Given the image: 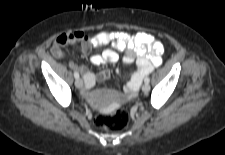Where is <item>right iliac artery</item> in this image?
Returning <instances> with one entry per match:
<instances>
[{"label": "right iliac artery", "instance_id": "82829eb1", "mask_svg": "<svg viewBox=\"0 0 225 155\" xmlns=\"http://www.w3.org/2000/svg\"><path fill=\"white\" fill-rule=\"evenodd\" d=\"M74 77L77 79L79 78V73L77 71L74 72Z\"/></svg>", "mask_w": 225, "mask_h": 155}]
</instances>
